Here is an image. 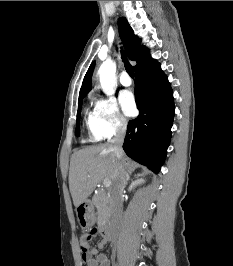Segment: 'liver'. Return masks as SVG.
<instances>
[{
    "label": "liver",
    "instance_id": "liver-1",
    "mask_svg": "<svg viewBox=\"0 0 233 266\" xmlns=\"http://www.w3.org/2000/svg\"><path fill=\"white\" fill-rule=\"evenodd\" d=\"M127 166L129 160L124 157ZM118 161L110 144L86 147L76 151L70 161L69 189L75 207L87 200L96 185L103 179L114 182Z\"/></svg>",
    "mask_w": 233,
    "mask_h": 266
}]
</instances>
